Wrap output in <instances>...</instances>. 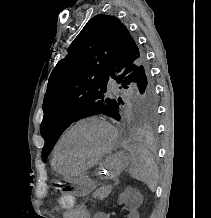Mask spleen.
<instances>
[{"label":"spleen","instance_id":"1","mask_svg":"<svg viewBox=\"0 0 211 218\" xmlns=\"http://www.w3.org/2000/svg\"><path fill=\"white\" fill-rule=\"evenodd\" d=\"M130 154V176L135 178V180L144 182L151 192H155L158 182V168L151 152L144 150V148H139V150H132Z\"/></svg>","mask_w":211,"mask_h":218}]
</instances>
